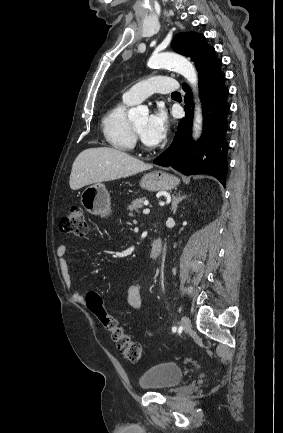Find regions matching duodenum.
Masks as SVG:
<instances>
[{"label": "duodenum", "mask_w": 283, "mask_h": 433, "mask_svg": "<svg viewBox=\"0 0 283 433\" xmlns=\"http://www.w3.org/2000/svg\"><path fill=\"white\" fill-rule=\"evenodd\" d=\"M162 240L159 236L155 237L151 243L150 257L156 260L160 257L162 252Z\"/></svg>", "instance_id": "410a0bca"}]
</instances>
